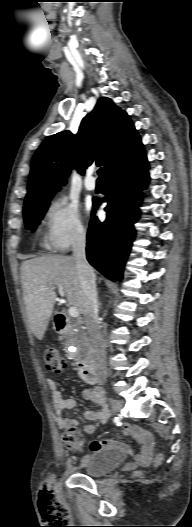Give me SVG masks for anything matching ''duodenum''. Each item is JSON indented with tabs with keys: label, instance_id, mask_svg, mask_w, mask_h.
<instances>
[{
	"label": "duodenum",
	"instance_id": "duodenum-1",
	"mask_svg": "<svg viewBox=\"0 0 192 527\" xmlns=\"http://www.w3.org/2000/svg\"><path fill=\"white\" fill-rule=\"evenodd\" d=\"M55 326L61 334H67L71 329V325L63 313L55 315ZM78 373L87 383L96 384L98 382L96 369L91 360H80L78 362Z\"/></svg>",
	"mask_w": 192,
	"mask_h": 527
}]
</instances>
